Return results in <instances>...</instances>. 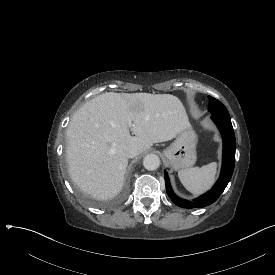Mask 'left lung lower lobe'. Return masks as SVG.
Instances as JSON below:
<instances>
[{"label": "left lung lower lobe", "mask_w": 275, "mask_h": 275, "mask_svg": "<svg viewBox=\"0 0 275 275\" xmlns=\"http://www.w3.org/2000/svg\"><path fill=\"white\" fill-rule=\"evenodd\" d=\"M212 120L220 130L223 139V156H222V168L220 177L207 193L200 197L189 201L178 197L172 190L169 177L166 171L165 174V186L169 198L179 207L185 209H194L206 207L214 203L229 183L235 165V149L236 141L234 131L232 129L231 119L219 115L212 114Z\"/></svg>", "instance_id": "0a47b994"}]
</instances>
